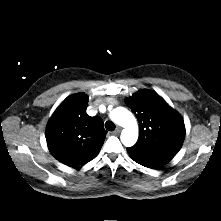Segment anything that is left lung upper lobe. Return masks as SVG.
I'll return each instance as SVG.
<instances>
[{"label":"left lung upper lobe","mask_w":221,"mask_h":221,"mask_svg":"<svg viewBox=\"0 0 221 221\" xmlns=\"http://www.w3.org/2000/svg\"><path fill=\"white\" fill-rule=\"evenodd\" d=\"M139 122V139L127 151L132 159L170 161L185 138L182 117L157 93L141 90L126 99Z\"/></svg>","instance_id":"5c2ea615"}]
</instances>
